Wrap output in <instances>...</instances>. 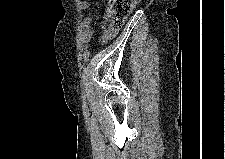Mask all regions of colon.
<instances>
[{"mask_svg":"<svg viewBox=\"0 0 225 159\" xmlns=\"http://www.w3.org/2000/svg\"><path fill=\"white\" fill-rule=\"evenodd\" d=\"M137 0H110L107 10V21L109 29L118 31L124 19L130 14Z\"/></svg>","mask_w":225,"mask_h":159,"instance_id":"colon-1","label":"colon"}]
</instances>
